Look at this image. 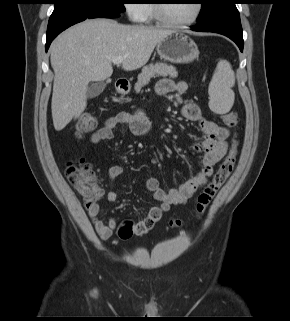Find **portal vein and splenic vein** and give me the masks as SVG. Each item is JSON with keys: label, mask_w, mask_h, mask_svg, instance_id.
I'll return each mask as SVG.
<instances>
[{"label": "portal vein and splenic vein", "mask_w": 290, "mask_h": 321, "mask_svg": "<svg viewBox=\"0 0 290 321\" xmlns=\"http://www.w3.org/2000/svg\"><path fill=\"white\" fill-rule=\"evenodd\" d=\"M122 61H123V57H116V58H113V59H112V62H113L114 64H116V65L121 64Z\"/></svg>", "instance_id": "obj_1"}]
</instances>
